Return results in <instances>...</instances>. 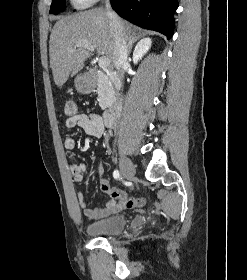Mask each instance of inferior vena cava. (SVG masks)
<instances>
[{"instance_id":"obj_1","label":"inferior vena cava","mask_w":247,"mask_h":280,"mask_svg":"<svg viewBox=\"0 0 247 280\" xmlns=\"http://www.w3.org/2000/svg\"><path fill=\"white\" fill-rule=\"evenodd\" d=\"M106 14L109 18V25L114 37V66L117 69L119 77L123 79L124 68L128 64V35L124 25L112 10L109 0L105 1Z\"/></svg>"}]
</instances>
